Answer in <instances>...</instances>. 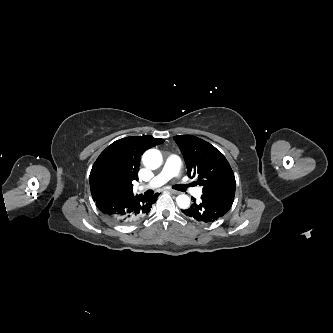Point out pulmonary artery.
<instances>
[{"mask_svg": "<svg viewBox=\"0 0 333 333\" xmlns=\"http://www.w3.org/2000/svg\"><path fill=\"white\" fill-rule=\"evenodd\" d=\"M181 169V159L177 155H170L161 171L154 176L147 184L141 185L138 187V190H144V189H152L159 187L166 182H168L171 178L176 177L179 175ZM192 193L196 197H200L202 194L201 188H195L191 190Z\"/></svg>", "mask_w": 333, "mask_h": 333, "instance_id": "e3ab8cb5", "label": "pulmonary artery"}]
</instances>
